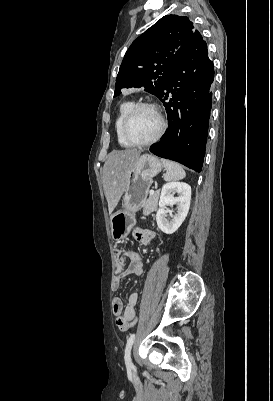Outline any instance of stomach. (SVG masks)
<instances>
[{"instance_id":"0dacf381","label":"stomach","mask_w":273,"mask_h":401,"mask_svg":"<svg viewBox=\"0 0 273 401\" xmlns=\"http://www.w3.org/2000/svg\"><path fill=\"white\" fill-rule=\"evenodd\" d=\"M161 168L162 162L153 154H142L132 168H129L128 182L122 196V211H117L110 217L113 241L126 239L136 225L135 213L147 201L152 178Z\"/></svg>"}]
</instances>
